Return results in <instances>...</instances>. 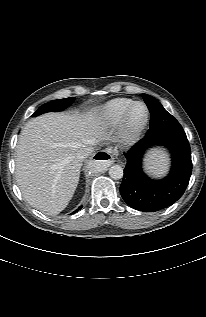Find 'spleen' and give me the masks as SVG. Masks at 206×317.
<instances>
[{
	"label": "spleen",
	"mask_w": 206,
	"mask_h": 317,
	"mask_svg": "<svg viewBox=\"0 0 206 317\" xmlns=\"http://www.w3.org/2000/svg\"><path fill=\"white\" fill-rule=\"evenodd\" d=\"M146 169L154 174L160 175L166 169V159L160 152H155L147 158Z\"/></svg>",
	"instance_id": "spleen-1"
}]
</instances>
